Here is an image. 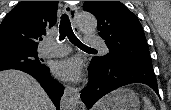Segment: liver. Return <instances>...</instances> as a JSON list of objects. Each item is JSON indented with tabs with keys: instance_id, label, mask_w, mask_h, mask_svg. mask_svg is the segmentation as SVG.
Returning <instances> with one entry per match:
<instances>
[{
	"instance_id": "1",
	"label": "liver",
	"mask_w": 171,
	"mask_h": 110,
	"mask_svg": "<svg viewBox=\"0 0 171 110\" xmlns=\"http://www.w3.org/2000/svg\"><path fill=\"white\" fill-rule=\"evenodd\" d=\"M101 104L95 106L99 110ZM0 110H55L40 84L19 70L0 72Z\"/></svg>"
}]
</instances>
